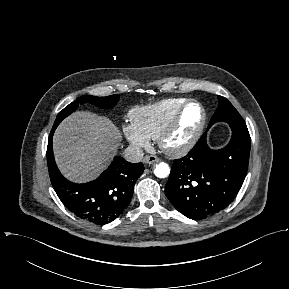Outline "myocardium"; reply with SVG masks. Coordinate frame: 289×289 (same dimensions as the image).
Wrapping results in <instances>:
<instances>
[{
    "label": "myocardium",
    "instance_id": "f54148a6",
    "mask_svg": "<svg viewBox=\"0 0 289 289\" xmlns=\"http://www.w3.org/2000/svg\"><path fill=\"white\" fill-rule=\"evenodd\" d=\"M191 104H196L201 111L200 122L193 134L182 143H172V137L178 130L185 110ZM207 122V112L203 104L196 99H187L177 110L170 123L158 138L160 148L168 155L181 156L189 152L201 138Z\"/></svg>",
    "mask_w": 289,
    "mask_h": 289
}]
</instances>
